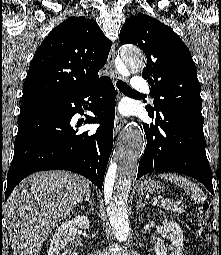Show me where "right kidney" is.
Wrapping results in <instances>:
<instances>
[{
  "label": "right kidney",
  "mask_w": 221,
  "mask_h": 255,
  "mask_svg": "<svg viewBox=\"0 0 221 255\" xmlns=\"http://www.w3.org/2000/svg\"><path fill=\"white\" fill-rule=\"evenodd\" d=\"M88 229L89 219L85 215H78L71 220H67L59 226L50 242L48 255H61V251L65 250V245L70 241L71 235L76 229ZM65 255V254H62ZM70 255H78L76 252H70Z\"/></svg>",
  "instance_id": "1"
}]
</instances>
